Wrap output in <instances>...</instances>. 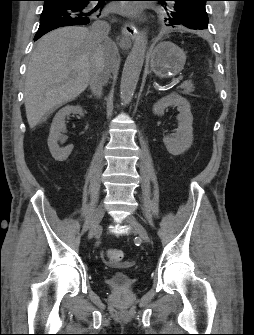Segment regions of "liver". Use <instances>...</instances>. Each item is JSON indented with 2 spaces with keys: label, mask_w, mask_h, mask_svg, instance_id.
I'll return each mask as SVG.
<instances>
[{
  "label": "liver",
  "mask_w": 254,
  "mask_h": 335,
  "mask_svg": "<svg viewBox=\"0 0 254 335\" xmlns=\"http://www.w3.org/2000/svg\"><path fill=\"white\" fill-rule=\"evenodd\" d=\"M118 49L110 39L95 43L85 27H63L37 43L26 72L24 101L29 127L76 99L89 84L96 57L110 72L117 66Z\"/></svg>",
  "instance_id": "6515ba94"
}]
</instances>
